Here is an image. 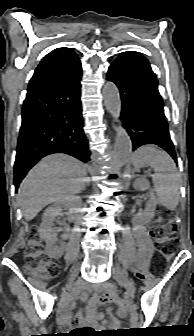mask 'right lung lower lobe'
<instances>
[{
	"label": "right lung lower lobe",
	"instance_id": "98d812e1",
	"mask_svg": "<svg viewBox=\"0 0 194 336\" xmlns=\"http://www.w3.org/2000/svg\"><path fill=\"white\" fill-rule=\"evenodd\" d=\"M80 62L71 70L28 87L14 166L15 189L26 173L44 156L66 153L90 160L83 131L80 101Z\"/></svg>",
	"mask_w": 194,
	"mask_h": 336
}]
</instances>
